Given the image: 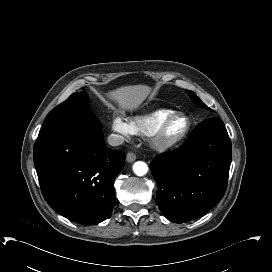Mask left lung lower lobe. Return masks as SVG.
I'll list each match as a JSON object with an SVG mask.
<instances>
[{
  "label": "left lung lower lobe",
  "instance_id": "obj_1",
  "mask_svg": "<svg viewBox=\"0 0 272 272\" xmlns=\"http://www.w3.org/2000/svg\"><path fill=\"white\" fill-rule=\"evenodd\" d=\"M232 146L219 118L199 123L178 149L160 154L150 164L158 184L156 199L172 222L195 219L223 197L228 181Z\"/></svg>",
  "mask_w": 272,
  "mask_h": 272
}]
</instances>
